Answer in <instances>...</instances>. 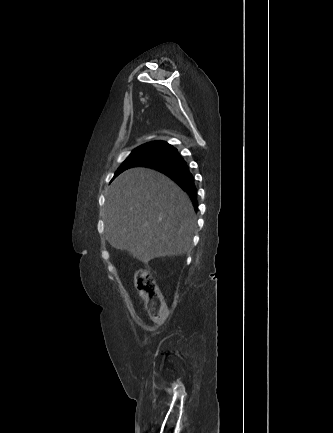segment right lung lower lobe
<instances>
[{
    "instance_id": "right-lung-lower-lobe-1",
    "label": "right lung lower lobe",
    "mask_w": 333,
    "mask_h": 433,
    "mask_svg": "<svg viewBox=\"0 0 333 433\" xmlns=\"http://www.w3.org/2000/svg\"><path fill=\"white\" fill-rule=\"evenodd\" d=\"M165 146L171 145L163 142ZM174 148V147H173ZM141 166L156 169L177 183L185 192H187L192 200L194 208L197 210V189L195 186L193 175L191 174L186 161L174 148L168 155L161 157L155 161L143 164Z\"/></svg>"
}]
</instances>
